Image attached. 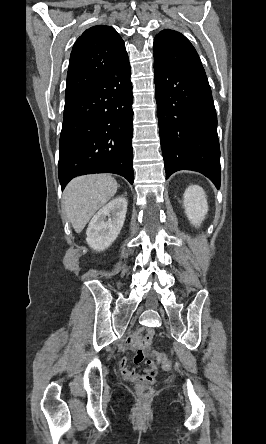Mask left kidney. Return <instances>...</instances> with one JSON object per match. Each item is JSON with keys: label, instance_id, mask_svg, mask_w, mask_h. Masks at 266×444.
Here are the masks:
<instances>
[{"label": "left kidney", "instance_id": "left-kidney-1", "mask_svg": "<svg viewBox=\"0 0 266 444\" xmlns=\"http://www.w3.org/2000/svg\"><path fill=\"white\" fill-rule=\"evenodd\" d=\"M185 213L195 227H199L208 212L206 194L202 187L191 185L184 193Z\"/></svg>", "mask_w": 266, "mask_h": 444}]
</instances>
